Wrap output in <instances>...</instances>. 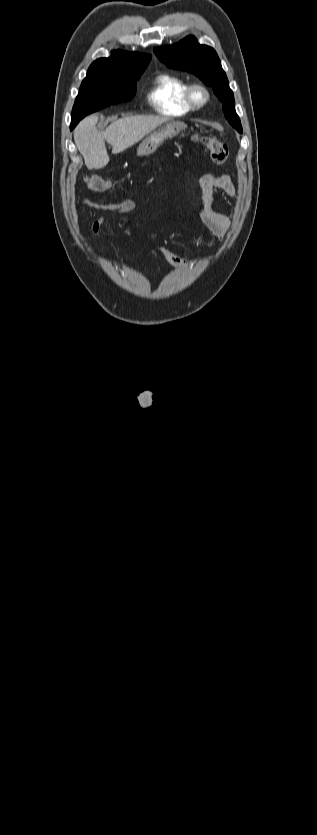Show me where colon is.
I'll list each match as a JSON object with an SVG mask.
<instances>
[{"instance_id": "colon-1", "label": "colon", "mask_w": 317, "mask_h": 835, "mask_svg": "<svg viewBox=\"0 0 317 835\" xmlns=\"http://www.w3.org/2000/svg\"><path fill=\"white\" fill-rule=\"evenodd\" d=\"M200 140L207 148L210 159L213 163L217 165H223L226 163L228 158V148L223 142L213 136H202ZM85 184L87 189L94 194L103 193L110 186L109 181L99 175L86 176Z\"/></svg>"}]
</instances>
